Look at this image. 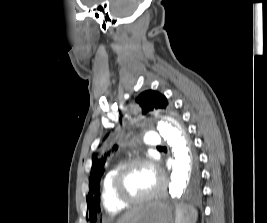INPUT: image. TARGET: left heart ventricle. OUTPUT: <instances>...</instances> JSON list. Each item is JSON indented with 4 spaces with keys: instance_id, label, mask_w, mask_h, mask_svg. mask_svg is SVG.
Listing matches in <instances>:
<instances>
[{
    "instance_id": "1",
    "label": "left heart ventricle",
    "mask_w": 267,
    "mask_h": 223,
    "mask_svg": "<svg viewBox=\"0 0 267 223\" xmlns=\"http://www.w3.org/2000/svg\"><path fill=\"white\" fill-rule=\"evenodd\" d=\"M158 177L147 166L139 165L130 170L123 182V192L127 197L138 198L155 189Z\"/></svg>"
}]
</instances>
